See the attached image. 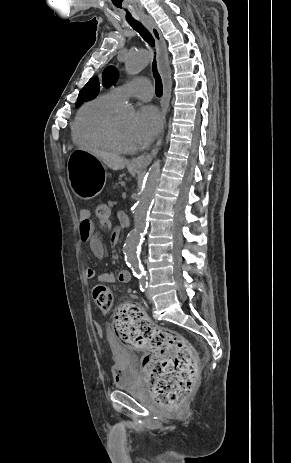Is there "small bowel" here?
I'll return each mask as SVG.
<instances>
[{"instance_id":"small-bowel-1","label":"small bowel","mask_w":291,"mask_h":463,"mask_svg":"<svg viewBox=\"0 0 291 463\" xmlns=\"http://www.w3.org/2000/svg\"><path fill=\"white\" fill-rule=\"evenodd\" d=\"M110 218V217H109ZM105 228L111 227V221L109 226H103ZM79 237L82 241L89 242V248L91 253L98 259L104 257L105 248L101 237L95 233L94 223L90 218L89 209L83 208L79 211ZM122 229L119 226H113L111 228L110 235L112 236L111 244L118 246L120 244ZM85 277L89 280L97 279L99 282L113 284L116 281L120 283H128L131 279L130 273L127 270H122L117 276L111 271L104 272L100 275L96 274V271L92 268L85 270ZM114 378H116L114 374Z\"/></svg>"}]
</instances>
